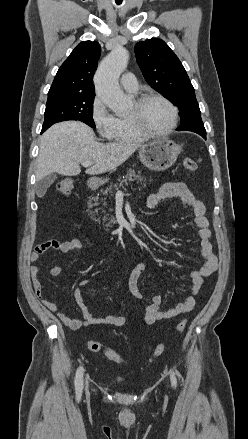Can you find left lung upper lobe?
<instances>
[{
  "mask_svg": "<svg viewBox=\"0 0 248 439\" xmlns=\"http://www.w3.org/2000/svg\"><path fill=\"white\" fill-rule=\"evenodd\" d=\"M135 51L145 80L179 108L181 125L177 130L206 135L194 88L170 47L156 38L138 42Z\"/></svg>",
  "mask_w": 248,
  "mask_h": 439,
  "instance_id": "1",
  "label": "left lung upper lobe"
}]
</instances>
